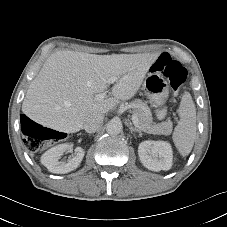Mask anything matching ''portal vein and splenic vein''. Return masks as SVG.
Masks as SVG:
<instances>
[{
    "label": "portal vein and splenic vein",
    "instance_id": "1",
    "mask_svg": "<svg viewBox=\"0 0 227 227\" xmlns=\"http://www.w3.org/2000/svg\"><path fill=\"white\" fill-rule=\"evenodd\" d=\"M117 81V77L116 76H112L108 79V83L109 84H114L115 82ZM107 96V91L105 92H102V93H99V94H96L95 95V99L96 100H101V99H104L105 97ZM132 121H133V124L139 128L140 130L143 131V129L140 127L139 125V121H138V118H137V115L135 113L132 114Z\"/></svg>",
    "mask_w": 227,
    "mask_h": 227
}]
</instances>
